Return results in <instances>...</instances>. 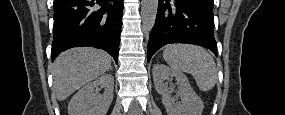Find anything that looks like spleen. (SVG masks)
Here are the masks:
<instances>
[{"label":"spleen","instance_id":"3e777b00","mask_svg":"<svg viewBox=\"0 0 285 115\" xmlns=\"http://www.w3.org/2000/svg\"><path fill=\"white\" fill-rule=\"evenodd\" d=\"M163 58L172 70L192 74L198 88L207 92L218 80L216 64L204 48L189 44H171L164 52Z\"/></svg>","mask_w":285,"mask_h":115}]
</instances>
